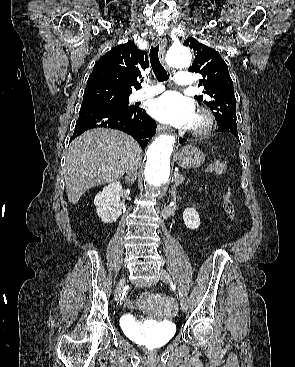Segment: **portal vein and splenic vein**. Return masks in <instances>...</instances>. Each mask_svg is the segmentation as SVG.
<instances>
[{"label":"portal vein and splenic vein","instance_id":"18ae733b","mask_svg":"<svg viewBox=\"0 0 295 367\" xmlns=\"http://www.w3.org/2000/svg\"><path fill=\"white\" fill-rule=\"evenodd\" d=\"M177 175H178V173H175V174H174V176H177Z\"/></svg>","mask_w":295,"mask_h":367}]
</instances>
